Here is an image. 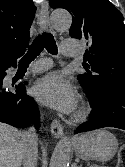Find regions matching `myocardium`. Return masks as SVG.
<instances>
[{
    "instance_id": "myocardium-1",
    "label": "myocardium",
    "mask_w": 125,
    "mask_h": 167,
    "mask_svg": "<svg viewBox=\"0 0 125 167\" xmlns=\"http://www.w3.org/2000/svg\"><path fill=\"white\" fill-rule=\"evenodd\" d=\"M88 115V109L85 105H81L73 114L72 120L75 122H80L84 120Z\"/></svg>"
}]
</instances>
